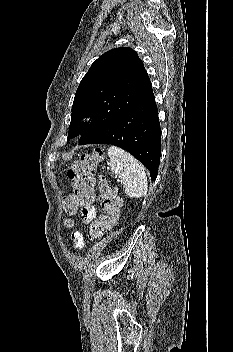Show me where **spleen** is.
<instances>
[{
    "label": "spleen",
    "instance_id": "obj_1",
    "mask_svg": "<svg viewBox=\"0 0 233 352\" xmlns=\"http://www.w3.org/2000/svg\"><path fill=\"white\" fill-rule=\"evenodd\" d=\"M108 155L110 169L120 178L126 195L131 198L144 197L147 194L148 181L143 165L131 154L116 146L109 147Z\"/></svg>",
    "mask_w": 233,
    "mask_h": 352
}]
</instances>
